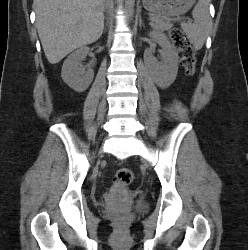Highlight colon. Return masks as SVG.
I'll return each instance as SVG.
<instances>
[{"mask_svg":"<svg viewBox=\"0 0 248 250\" xmlns=\"http://www.w3.org/2000/svg\"><path fill=\"white\" fill-rule=\"evenodd\" d=\"M170 39L174 47L178 50L181 64L188 75L195 72L197 58L195 48L192 46L188 37L178 28L169 31ZM133 172L129 168H121L114 174V181L121 185H130L133 181Z\"/></svg>","mask_w":248,"mask_h":250,"instance_id":"5ec220e1","label":"colon"}]
</instances>
